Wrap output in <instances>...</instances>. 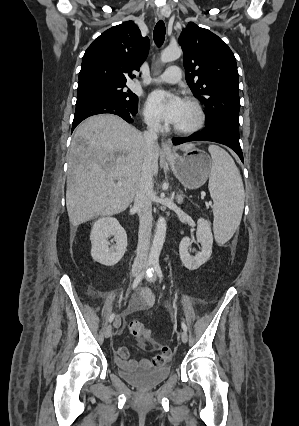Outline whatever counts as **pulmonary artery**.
I'll use <instances>...</instances> for the list:
<instances>
[{
  "mask_svg": "<svg viewBox=\"0 0 299 426\" xmlns=\"http://www.w3.org/2000/svg\"><path fill=\"white\" fill-rule=\"evenodd\" d=\"M181 70L177 66L168 67L160 76L153 79V81L164 82V83H177L181 80Z\"/></svg>",
  "mask_w": 299,
  "mask_h": 426,
  "instance_id": "obj_1",
  "label": "pulmonary artery"
}]
</instances>
